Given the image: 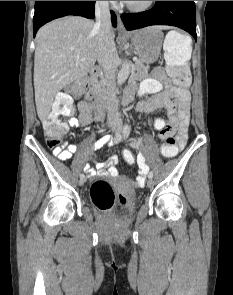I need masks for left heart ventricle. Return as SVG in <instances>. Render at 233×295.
Segmentation results:
<instances>
[{
	"mask_svg": "<svg viewBox=\"0 0 233 295\" xmlns=\"http://www.w3.org/2000/svg\"><path fill=\"white\" fill-rule=\"evenodd\" d=\"M146 1H128L127 3L132 4V5H142Z\"/></svg>",
	"mask_w": 233,
	"mask_h": 295,
	"instance_id": "left-heart-ventricle-1",
	"label": "left heart ventricle"
}]
</instances>
